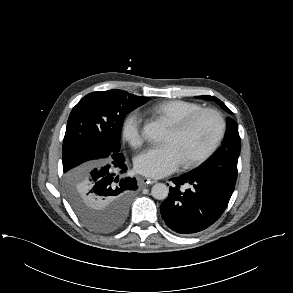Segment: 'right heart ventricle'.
I'll return each instance as SVG.
<instances>
[{"instance_id":"e07e8e85","label":"right heart ventricle","mask_w":293,"mask_h":293,"mask_svg":"<svg viewBox=\"0 0 293 293\" xmlns=\"http://www.w3.org/2000/svg\"><path fill=\"white\" fill-rule=\"evenodd\" d=\"M203 108L202 105L179 99L162 101L151 108V111L173 124L186 115Z\"/></svg>"}]
</instances>
